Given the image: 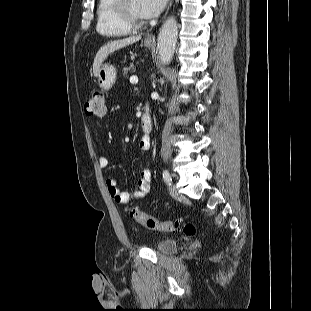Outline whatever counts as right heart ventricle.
<instances>
[{"instance_id": "obj_1", "label": "right heart ventricle", "mask_w": 311, "mask_h": 311, "mask_svg": "<svg viewBox=\"0 0 311 311\" xmlns=\"http://www.w3.org/2000/svg\"><path fill=\"white\" fill-rule=\"evenodd\" d=\"M116 3V0H98L96 8V29L101 35L122 37L131 32L119 18Z\"/></svg>"}]
</instances>
